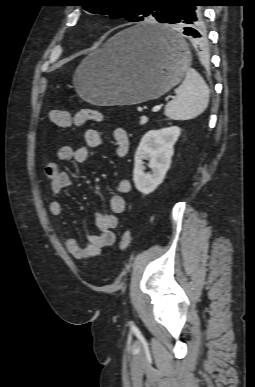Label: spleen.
I'll return each instance as SVG.
<instances>
[{
	"label": "spleen",
	"mask_w": 255,
	"mask_h": 387,
	"mask_svg": "<svg viewBox=\"0 0 255 387\" xmlns=\"http://www.w3.org/2000/svg\"><path fill=\"white\" fill-rule=\"evenodd\" d=\"M175 93L176 98L165 107V115L172 120L194 119L208 106L209 88L193 68H187L186 77Z\"/></svg>",
	"instance_id": "obj_1"
}]
</instances>
